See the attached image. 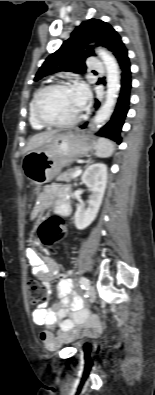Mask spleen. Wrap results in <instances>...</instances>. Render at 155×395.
<instances>
[{"label": "spleen", "mask_w": 155, "mask_h": 395, "mask_svg": "<svg viewBox=\"0 0 155 395\" xmlns=\"http://www.w3.org/2000/svg\"><path fill=\"white\" fill-rule=\"evenodd\" d=\"M95 150L97 157L108 158L114 151V144L109 139L99 138Z\"/></svg>", "instance_id": "obj_1"}]
</instances>
